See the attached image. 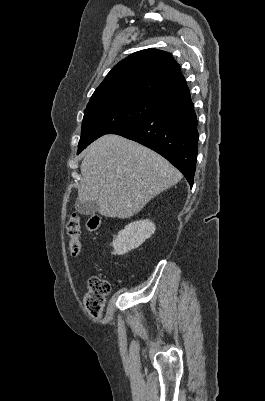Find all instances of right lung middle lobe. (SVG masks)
I'll use <instances>...</instances> for the list:
<instances>
[{
    "label": "right lung middle lobe",
    "instance_id": "dd1d6c3e",
    "mask_svg": "<svg viewBox=\"0 0 265 401\" xmlns=\"http://www.w3.org/2000/svg\"><path fill=\"white\" fill-rule=\"evenodd\" d=\"M162 104L130 99L87 106L84 111L78 153L97 138L134 123L158 110Z\"/></svg>",
    "mask_w": 265,
    "mask_h": 401
}]
</instances>
